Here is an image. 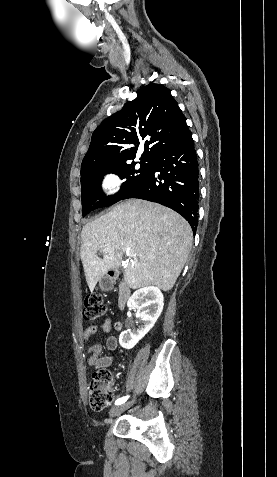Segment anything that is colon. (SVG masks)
<instances>
[{
  "mask_svg": "<svg viewBox=\"0 0 277 477\" xmlns=\"http://www.w3.org/2000/svg\"><path fill=\"white\" fill-rule=\"evenodd\" d=\"M106 308L102 298L93 294L84 302L83 318L88 323H93L105 315ZM114 381L112 374L105 369L93 373L88 387L89 405L93 410L105 409L113 400Z\"/></svg>",
  "mask_w": 277,
  "mask_h": 477,
  "instance_id": "1",
  "label": "colon"
}]
</instances>
